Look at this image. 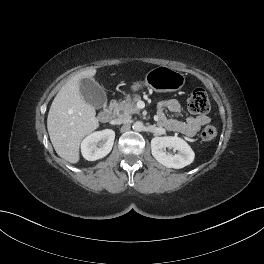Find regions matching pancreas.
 <instances>
[{
    "label": "pancreas",
    "instance_id": "pancreas-1",
    "mask_svg": "<svg viewBox=\"0 0 264 264\" xmlns=\"http://www.w3.org/2000/svg\"><path fill=\"white\" fill-rule=\"evenodd\" d=\"M140 100L138 95L133 98L128 96L124 101L115 104V111L117 114L130 116L131 114H139L140 110L137 108L136 103Z\"/></svg>",
    "mask_w": 264,
    "mask_h": 264
}]
</instances>
